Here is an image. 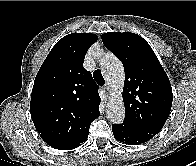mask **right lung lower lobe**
<instances>
[{
  "instance_id": "obj_1",
  "label": "right lung lower lobe",
  "mask_w": 196,
  "mask_h": 166,
  "mask_svg": "<svg viewBox=\"0 0 196 166\" xmlns=\"http://www.w3.org/2000/svg\"><path fill=\"white\" fill-rule=\"evenodd\" d=\"M81 143H75V142H55V143H49V145L55 149H61V150H70L74 149L80 146Z\"/></svg>"
}]
</instances>
